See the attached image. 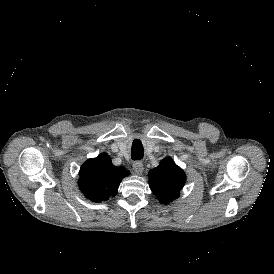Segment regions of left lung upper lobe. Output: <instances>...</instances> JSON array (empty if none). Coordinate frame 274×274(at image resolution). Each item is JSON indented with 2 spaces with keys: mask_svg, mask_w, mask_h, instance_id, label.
Segmentation results:
<instances>
[{
  "mask_svg": "<svg viewBox=\"0 0 274 274\" xmlns=\"http://www.w3.org/2000/svg\"><path fill=\"white\" fill-rule=\"evenodd\" d=\"M149 186L162 204H168L179 196L186 176L174 161L166 157L158 167L149 171Z\"/></svg>",
  "mask_w": 274,
  "mask_h": 274,
  "instance_id": "obj_1",
  "label": "left lung upper lobe"
}]
</instances>
